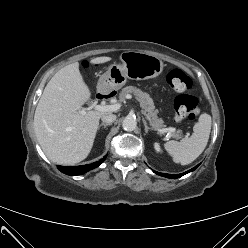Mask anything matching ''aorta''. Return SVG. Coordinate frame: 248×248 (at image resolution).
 Returning <instances> with one entry per match:
<instances>
[{
    "label": "aorta",
    "instance_id": "obj_1",
    "mask_svg": "<svg viewBox=\"0 0 248 248\" xmlns=\"http://www.w3.org/2000/svg\"><path fill=\"white\" fill-rule=\"evenodd\" d=\"M137 126V121L135 117L127 116L122 122V127L126 131H133Z\"/></svg>",
    "mask_w": 248,
    "mask_h": 248
}]
</instances>
